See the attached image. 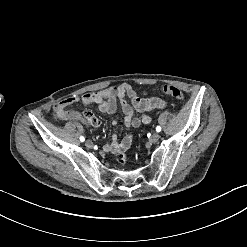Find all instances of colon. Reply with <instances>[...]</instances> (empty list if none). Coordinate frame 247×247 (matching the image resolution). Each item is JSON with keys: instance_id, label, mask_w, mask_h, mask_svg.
I'll return each instance as SVG.
<instances>
[{"instance_id": "colon-1", "label": "colon", "mask_w": 247, "mask_h": 247, "mask_svg": "<svg viewBox=\"0 0 247 247\" xmlns=\"http://www.w3.org/2000/svg\"><path fill=\"white\" fill-rule=\"evenodd\" d=\"M161 90L164 94L173 97L174 99L183 101L185 99V93L176 85L164 84L161 86Z\"/></svg>"}]
</instances>
